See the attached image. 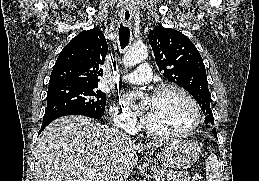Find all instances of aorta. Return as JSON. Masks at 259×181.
I'll return each mask as SVG.
<instances>
[{"label":"aorta","instance_id":"aorta-1","mask_svg":"<svg viewBox=\"0 0 259 181\" xmlns=\"http://www.w3.org/2000/svg\"><path fill=\"white\" fill-rule=\"evenodd\" d=\"M148 56V49L145 44H134L128 48L123 57V63L127 67H132Z\"/></svg>","mask_w":259,"mask_h":181}]
</instances>
